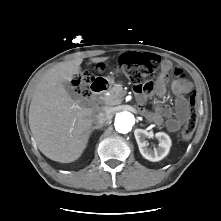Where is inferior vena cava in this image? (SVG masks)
I'll use <instances>...</instances> for the list:
<instances>
[{
  "label": "inferior vena cava",
  "mask_w": 221,
  "mask_h": 221,
  "mask_svg": "<svg viewBox=\"0 0 221 221\" xmlns=\"http://www.w3.org/2000/svg\"><path fill=\"white\" fill-rule=\"evenodd\" d=\"M111 114L107 110H100L93 115V122L96 126L102 127L110 121Z\"/></svg>",
  "instance_id": "inferior-vena-cava-1"
}]
</instances>
